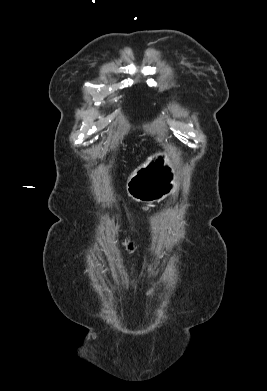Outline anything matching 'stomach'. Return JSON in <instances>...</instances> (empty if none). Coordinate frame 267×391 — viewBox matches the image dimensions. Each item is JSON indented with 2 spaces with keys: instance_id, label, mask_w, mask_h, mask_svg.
Instances as JSON below:
<instances>
[{
  "instance_id": "obj_1",
  "label": "stomach",
  "mask_w": 267,
  "mask_h": 391,
  "mask_svg": "<svg viewBox=\"0 0 267 391\" xmlns=\"http://www.w3.org/2000/svg\"><path fill=\"white\" fill-rule=\"evenodd\" d=\"M173 152L159 151L138 167L127 182V193L142 203L160 202L179 189Z\"/></svg>"
}]
</instances>
